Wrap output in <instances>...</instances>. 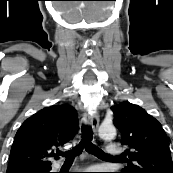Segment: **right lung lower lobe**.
Listing matches in <instances>:
<instances>
[{
  "mask_svg": "<svg viewBox=\"0 0 173 173\" xmlns=\"http://www.w3.org/2000/svg\"><path fill=\"white\" fill-rule=\"evenodd\" d=\"M49 168H33V169H24V170H19V171H13L12 173H50Z\"/></svg>",
  "mask_w": 173,
  "mask_h": 173,
  "instance_id": "right-lung-lower-lobe-1",
  "label": "right lung lower lobe"
}]
</instances>
